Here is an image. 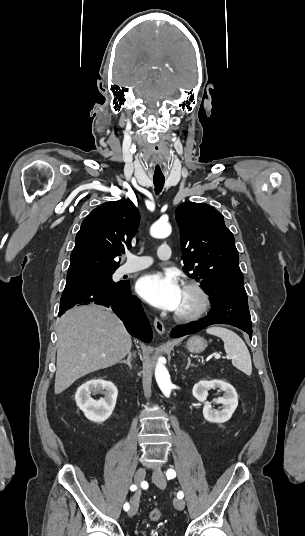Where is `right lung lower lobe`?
<instances>
[{
  "label": "right lung lower lobe",
  "mask_w": 305,
  "mask_h": 536,
  "mask_svg": "<svg viewBox=\"0 0 305 536\" xmlns=\"http://www.w3.org/2000/svg\"><path fill=\"white\" fill-rule=\"evenodd\" d=\"M87 303L111 307L132 336L146 343L152 340L149 321L139 300L132 295L129 283H120L110 288L93 285L66 286L61 296L58 316L77 304Z\"/></svg>",
  "instance_id": "1"
}]
</instances>
